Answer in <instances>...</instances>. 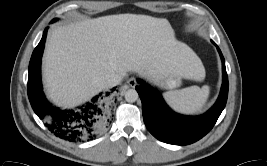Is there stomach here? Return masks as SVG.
<instances>
[{
  "mask_svg": "<svg viewBox=\"0 0 267 166\" xmlns=\"http://www.w3.org/2000/svg\"><path fill=\"white\" fill-rule=\"evenodd\" d=\"M157 80L160 82L162 87L167 89L176 88L181 83V78L175 75H163L158 77Z\"/></svg>",
  "mask_w": 267,
  "mask_h": 166,
  "instance_id": "0dacf381",
  "label": "stomach"
}]
</instances>
